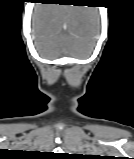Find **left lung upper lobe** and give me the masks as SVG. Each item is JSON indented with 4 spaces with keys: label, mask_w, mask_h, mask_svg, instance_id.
I'll list each match as a JSON object with an SVG mask.
<instances>
[{
    "label": "left lung upper lobe",
    "mask_w": 134,
    "mask_h": 159,
    "mask_svg": "<svg viewBox=\"0 0 134 159\" xmlns=\"http://www.w3.org/2000/svg\"><path fill=\"white\" fill-rule=\"evenodd\" d=\"M82 159H98L97 156L86 155L85 157H81Z\"/></svg>",
    "instance_id": "5c2ea615"
}]
</instances>
